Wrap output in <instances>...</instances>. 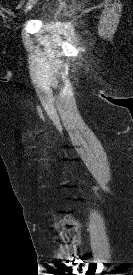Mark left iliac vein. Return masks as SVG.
I'll use <instances>...</instances> for the list:
<instances>
[{
  "mask_svg": "<svg viewBox=\"0 0 133 275\" xmlns=\"http://www.w3.org/2000/svg\"><path fill=\"white\" fill-rule=\"evenodd\" d=\"M37 0H29L26 6V11L30 10L31 7L36 3Z\"/></svg>",
  "mask_w": 133,
  "mask_h": 275,
  "instance_id": "4c4485c4",
  "label": "left iliac vein"
}]
</instances>
